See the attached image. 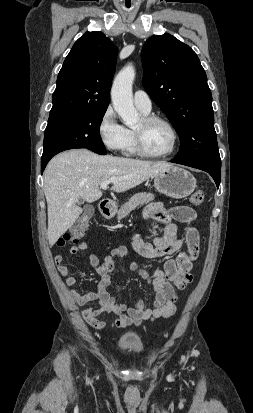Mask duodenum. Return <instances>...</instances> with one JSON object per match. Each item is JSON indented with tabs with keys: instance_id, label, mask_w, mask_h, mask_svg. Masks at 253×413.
Masks as SVG:
<instances>
[{
	"instance_id": "1",
	"label": "duodenum",
	"mask_w": 253,
	"mask_h": 413,
	"mask_svg": "<svg viewBox=\"0 0 253 413\" xmlns=\"http://www.w3.org/2000/svg\"><path fill=\"white\" fill-rule=\"evenodd\" d=\"M99 210L103 217L109 218L113 215L114 208L112 204L108 201H102L99 205Z\"/></svg>"
}]
</instances>
